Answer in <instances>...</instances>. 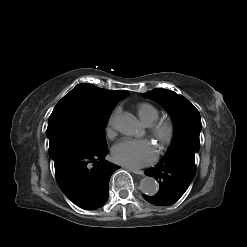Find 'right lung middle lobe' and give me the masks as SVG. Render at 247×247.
<instances>
[{
  "instance_id": "obj_1",
  "label": "right lung middle lobe",
  "mask_w": 247,
  "mask_h": 247,
  "mask_svg": "<svg viewBox=\"0 0 247 247\" xmlns=\"http://www.w3.org/2000/svg\"><path fill=\"white\" fill-rule=\"evenodd\" d=\"M116 104H102L80 91H70L49 117V140L65 139L96 150L107 147L105 126Z\"/></svg>"
}]
</instances>
